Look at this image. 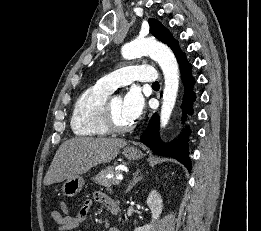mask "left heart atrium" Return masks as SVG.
Returning a JSON list of instances; mask_svg holds the SVG:
<instances>
[{
  "label": "left heart atrium",
  "mask_w": 261,
  "mask_h": 231,
  "mask_svg": "<svg viewBox=\"0 0 261 231\" xmlns=\"http://www.w3.org/2000/svg\"><path fill=\"white\" fill-rule=\"evenodd\" d=\"M144 105V98L136 87L131 88L123 98L124 111L132 122L141 116Z\"/></svg>",
  "instance_id": "left-heart-atrium-1"
}]
</instances>
